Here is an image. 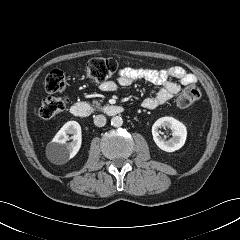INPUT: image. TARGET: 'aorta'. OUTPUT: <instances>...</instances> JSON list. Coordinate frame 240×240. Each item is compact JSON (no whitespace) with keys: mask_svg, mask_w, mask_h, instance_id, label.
Wrapping results in <instances>:
<instances>
[{"mask_svg":"<svg viewBox=\"0 0 240 240\" xmlns=\"http://www.w3.org/2000/svg\"><path fill=\"white\" fill-rule=\"evenodd\" d=\"M123 124V119L120 116H115L111 119V125L113 127H120Z\"/></svg>","mask_w":240,"mask_h":240,"instance_id":"aorta-1","label":"aorta"}]
</instances>
